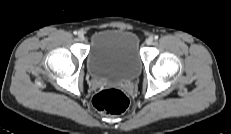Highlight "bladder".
<instances>
[{"label": "bladder", "instance_id": "1", "mask_svg": "<svg viewBox=\"0 0 231 134\" xmlns=\"http://www.w3.org/2000/svg\"><path fill=\"white\" fill-rule=\"evenodd\" d=\"M142 60L137 35L128 30L104 29L90 39L86 67L98 80H130L141 70Z\"/></svg>", "mask_w": 231, "mask_h": 134}]
</instances>
